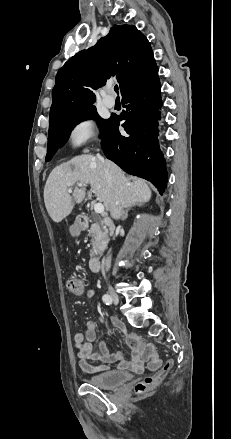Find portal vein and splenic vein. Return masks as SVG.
<instances>
[{"label":"portal vein and splenic vein","mask_w":231,"mask_h":439,"mask_svg":"<svg viewBox=\"0 0 231 439\" xmlns=\"http://www.w3.org/2000/svg\"><path fill=\"white\" fill-rule=\"evenodd\" d=\"M77 185H78L79 187L85 189V186H84L83 184L79 183V184H77ZM68 192L71 193L72 190L69 189ZM94 211H95L97 214H103V213H104V205H103L102 203H95V204H94Z\"/></svg>","instance_id":"obj_1"}]
</instances>
